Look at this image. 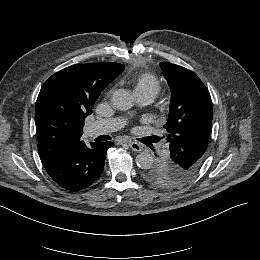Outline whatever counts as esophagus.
I'll list each match as a JSON object with an SVG mask.
<instances>
[{
    "label": "esophagus",
    "mask_w": 260,
    "mask_h": 260,
    "mask_svg": "<svg viewBox=\"0 0 260 260\" xmlns=\"http://www.w3.org/2000/svg\"><path fill=\"white\" fill-rule=\"evenodd\" d=\"M129 146L135 152H141L143 150L142 146L139 143L135 142V141L130 142Z\"/></svg>",
    "instance_id": "34e87169"
}]
</instances>
